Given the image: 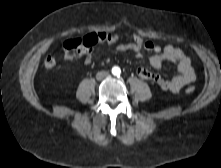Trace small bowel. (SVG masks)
<instances>
[{
    "label": "small bowel",
    "instance_id": "c3829d8e",
    "mask_svg": "<svg viewBox=\"0 0 221 168\" xmlns=\"http://www.w3.org/2000/svg\"><path fill=\"white\" fill-rule=\"evenodd\" d=\"M115 49L119 52L133 51L139 57L142 56L143 51L150 52L149 63L155 69H160L164 62L175 64L178 74L170 79H164L145 67L137 69V75L140 78L153 81L163 90L176 93L184 86L192 83L196 78L191 59L179 48L173 46L161 47L152 41H146L143 47H138L130 42L118 44ZM85 63H91L90 55L86 57Z\"/></svg>",
    "mask_w": 221,
    "mask_h": 168
}]
</instances>
